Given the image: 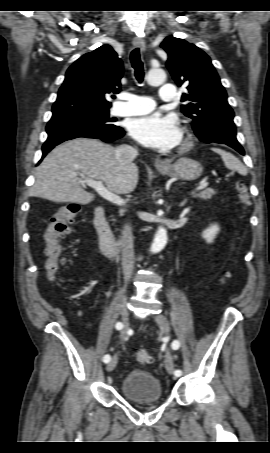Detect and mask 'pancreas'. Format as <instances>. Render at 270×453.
I'll use <instances>...</instances> for the list:
<instances>
[{"mask_svg":"<svg viewBox=\"0 0 270 453\" xmlns=\"http://www.w3.org/2000/svg\"><path fill=\"white\" fill-rule=\"evenodd\" d=\"M215 194V190L213 188H207L198 194H194V198H200L202 200H210L212 196Z\"/></svg>","mask_w":270,"mask_h":453,"instance_id":"cf45deb5","label":"pancreas"}]
</instances>
